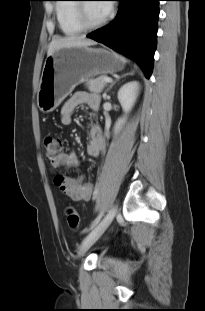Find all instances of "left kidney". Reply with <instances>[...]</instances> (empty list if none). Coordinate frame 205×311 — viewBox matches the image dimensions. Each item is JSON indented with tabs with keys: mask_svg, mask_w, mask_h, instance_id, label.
Returning a JSON list of instances; mask_svg holds the SVG:
<instances>
[{
	"mask_svg": "<svg viewBox=\"0 0 205 311\" xmlns=\"http://www.w3.org/2000/svg\"><path fill=\"white\" fill-rule=\"evenodd\" d=\"M138 91V83L136 81L125 84L118 91V100L124 111H129L136 99ZM123 120H118L115 125V129H118Z\"/></svg>",
	"mask_w": 205,
	"mask_h": 311,
	"instance_id": "obj_1",
	"label": "left kidney"
}]
</instances>
